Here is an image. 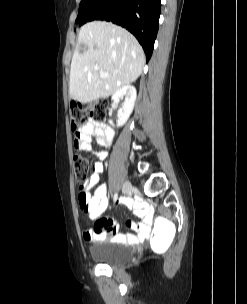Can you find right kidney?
<instances>
[{
	"label": "right kidney",
	"instance_id": "obj_1",
	"mask_svg": "<svg viewBox=\"0 0 247 304\" xmlns=\"http://www.w3.org/2000/svg\"><path fill=\"white\" fill-rule=\"evenodd\" d=\"M125 97V101L121 108L118 110L117 114V126H123L128 118L130 117L135 101H136V89L134 86L128 84L125 86L120 87L113 95H112V101L114 103H118L121 98ZM109 123L114 126L113 122L109 120Z\"/></svg>",
	"mask_w": 247,
	"mask_h": 304
}]
</instances>
